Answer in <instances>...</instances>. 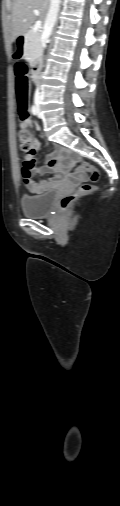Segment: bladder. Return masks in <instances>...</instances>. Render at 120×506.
Masks as SVG:
<instances>
[{
    "mask_svg": "<svg viewBox=\"0 0 120 506\" xmlns=\"http://www.w3.org/2000/svg\"><path fill=\"white\" fill-rule=\"evenodd\" d=\"M55 198V190H49L38 195L24 194L20 197L22 213L30 218L45 217L49 214Z\"/></svg>",
    "mask_w": 120,
    "mask_h": 506,
    "instance_id": "1",
    "label": "bladder"
}]
</instances>
